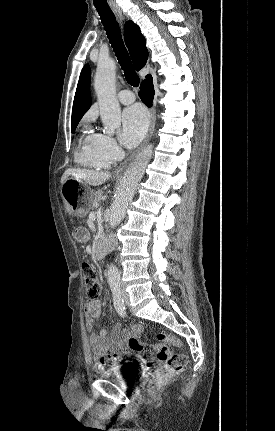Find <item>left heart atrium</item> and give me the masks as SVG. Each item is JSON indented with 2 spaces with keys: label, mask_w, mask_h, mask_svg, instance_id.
Returning a JSON list of instances; mask_svg holds the SVG:
<instances>
[{
  "label": "left heart atrium",
  "mask_w": 275,
  "mask_h": 431,
  "mask_svg": "<svg viewBox=\"0 0 275 431\" xmlns=\"http://www.w3.org/2000/svg\"><path fill=\"white\" fill-rule=\"evenodd\" d=\"M147 127L148 115L145 109L139 105L128 107L122 114L121 143L127 148L134 147L145 135Z\"/></svg>",
  "instance_id": "1"
}]
</instances>
